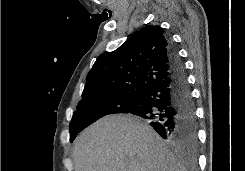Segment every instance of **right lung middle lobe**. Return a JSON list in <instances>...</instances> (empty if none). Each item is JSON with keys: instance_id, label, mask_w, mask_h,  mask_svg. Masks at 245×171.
I'll list each match as a JSON object with an SVG mask.
<instances>
[{"instance_id": "right-lung-middle-lobe-1", "label": "right lung middle lobe", "mask_w": 245, "mask_h": 171, "mask_svg": "<svg viewBox=\"0 0 245 171\" xmlns=\"http://www.w3.org/2000/svg\"><path fill=\"white\" fill-rule=\"evenodd\" d=\"M140 96H112L98 100L80 101L70 122V142L84 128L99 118L115 113H129L139 105Z\"/></svg>"}]
</instances>
